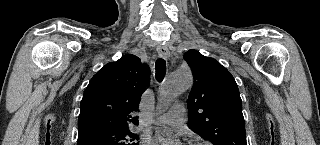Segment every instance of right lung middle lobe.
<instances>
[{"label":"right lung middle lobe","mask_w":320,"mask_h":145,"mask_svg":"<svg viewBox=\"0 0 320 145\" xmlns=\"http://www.w3.org/2000/svg\"><path fill=\"white\" fill-rule=\"evenodd\" d=\"M137 140L128 128L103 129L78 136L77 145H138Z\"/></svg>","instance_id":"1"}]
</instances>
